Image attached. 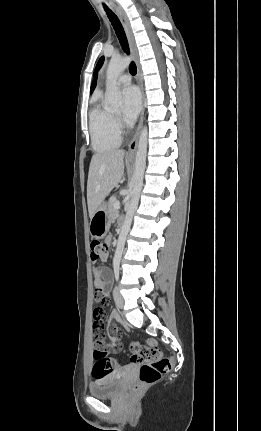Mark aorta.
Returning <instances> with one entry per match:
<instances>
[{
    "instance_id": "762f6f07",
    "label": "aorta",
    "mask_w": 261,
    "mask_h": 431,
    "mask_svg": "<svg viewBox=\"0 0 261 431\" xmlns=\"http://www.w3.org/2000/svg\"><path fill=\"white\" fill-rule=\"evenodd\" d=\"M130 59L128 57L122 58H112L109 62L107 73H106V99L107 105L110 108H117L122 103V94L117 84V79L119 75L129 66ZM147 139H148V131L147 127L144 126L138 143V149L136 153L135 160V170L132 178L133 182V190H132V198L130 204L128 206L126 217L118 238V243L113 259L114 265H119L126 237L130 230L131 222L133 219V215L135 210L137 209L140 192L143 185V176L146 165V154H147Z\"/></svg>"
}]
</instances>
